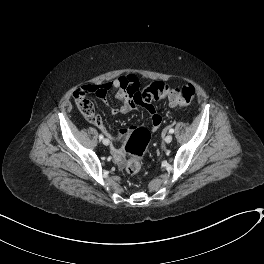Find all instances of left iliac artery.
I'll return each mask as SVG.
<instances>
[{
  "instance_id": "obj_1",
  "label": "left iliac artery",
  "mask_w": 264,
  "mask_h": 264,
  "mask_svg": "<svg viewBox=\"0 0 264 264\" xmlns=\"http://www.w3.org/2000/svg\"><path fill=\"white\" fill-rule=\"evenodd\" d=\"M174 132V129L173 128H171L170 130H169V133H173Z\"/></svg>"
}]
</instances>
